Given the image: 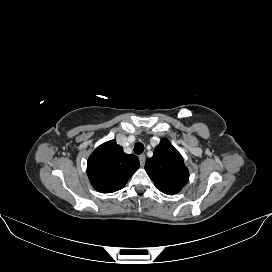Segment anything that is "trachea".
<instances>
[{"label": "trachea", "mask_w": 272, "mask_h": 272, "mask_svg": "<svg viewBox=\"0 0 272 272\" xmlns=\"http://www.w3.org/2000/svg\"><path fill=\"white\" fill-rule=\"evenodd\" d=\"M143 151H144V145L142 143L135 144V146H134V152L136 154H141V153H143Z\"/></svg>", "instance_id": "obj_1"}]
</instances>
